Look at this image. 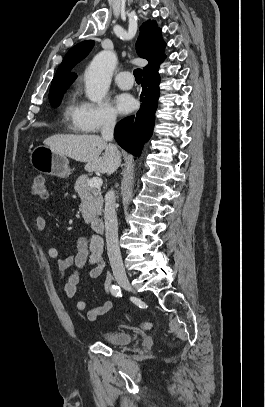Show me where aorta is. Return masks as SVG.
<instances>
[{"label": "aorta", "mask_w": 265, "mask_h": 407, "mask_svg": "<svg viewBox=\"0 0 265 407\" xmlns=\"http://www.w3.org/2000/svg\"><path fill=\"white\" fill-rule=\"evenodd\" d=\"M117 58L112 51H102L91 61L84 74L86 96L95 103H101L105 97Z\"/></svg>", "instance_id": "aorta-1"}]
</instances>
